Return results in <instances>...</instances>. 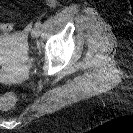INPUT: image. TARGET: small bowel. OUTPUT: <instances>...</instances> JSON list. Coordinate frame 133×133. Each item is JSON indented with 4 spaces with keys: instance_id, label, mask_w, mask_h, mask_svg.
I'll return each mask as SVG.
<instances>
[{
    "instance_id": "small-bowel-1",
    "label": "small bowel",
    "mask_w": 133,
    "mask_h": 133,
    "mask_svg": "<svg viewBox=\"0 0 133 133\" xmlns=\"http://www.w3.org/2000/svg\"><path fill=\"white\" fill-rule=\"evenodd\" d=\"M0 30L4 32H8L12 30V27L9 26V23L0 25Z\"/></svg>"
}]
</instances>
